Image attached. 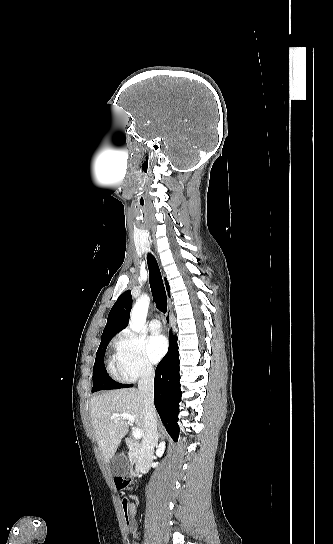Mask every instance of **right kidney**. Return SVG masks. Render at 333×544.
I'll return each mask as SVG.
<instances>
[{"instance_id":"right-kidney-1","label":"right kidney","mask_w":333,"mask_h":544,"mask_svg":"<svg viewBox=\"0 0 333 544\" xmlns=\"http://www.w3.org/2000/svg\"><path fill=\"white\" fill-rule=\"evenodd\" d=\"M164 450H165V442L163 441L162 443H160L158 449H157V456L161 457L164 453Z\"/></svg>"}]
</instances>
